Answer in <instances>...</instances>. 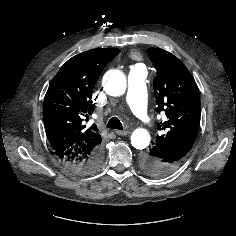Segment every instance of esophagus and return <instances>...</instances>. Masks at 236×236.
I'll list each match as a JSON object with an SVG mask.
<instances>
[{
    "label": "esophagus",
    "instance_id": "esophagus-1",
    "mask_svg": "<svg viewBox=\"0 0 236 236\" xmlns=\"http://www.w3.org/2000/svg\"><path fill=\"white\" fill-rule=\"evenodd\" d=\"M115 133L119 136H126L129 133V131L116 130Z\"/></svg>",
    "mask_w": 236,
    "mask_h": 236
}]
</instances>
